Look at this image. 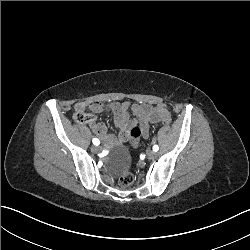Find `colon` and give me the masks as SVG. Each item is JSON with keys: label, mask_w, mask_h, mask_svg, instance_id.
<instances>
[{"label": "colon", "mask_w": 250, "mask_h": 250, "mask_svg": "<svg viewBox=\"0 0 250 250\" xmlns=\"http://www.w3.org/2000/svg\"><path fill=\"white\" fill-rule=\"evenodd\" d=\"M163 106V105H162ZM74 119L76 122L80 124H90L93 122V117L89 113L85 111H76L74 114ZM163 123L165 126H170L171 125V120L169 117H164L163 118ZM130 134H131V140L133 142V148L134 149H139L140 148V143L138 142L140 139V134H141V129L139 128L138 125H132L130 129ZM134 180V175L131 172H124L118 178L117 180V185L120 188H125L129 187Z\"/></svg>", "instance_id": "colon-1"}]
</instances>
